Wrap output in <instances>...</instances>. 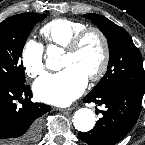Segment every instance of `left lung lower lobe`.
<instances>
[{
  "instance_id": "1",
  "label": "left lung lower lobe",
  "mask_w": 145,
  "mask_h": 145,
  "mask_svg": "<svg viewBox=\"0 0 145 145\" xmlns=\"http://www.w3.org/2000/svg\"><path fill=\"white\" fill-rule=\"evenodd\" d=\"M143 92L131 88H115L99 95L88 94L84 102L104 105L100 118L89 132H79V138L89 145H114L124 138L136 123Z\"/></svg>"
}]
</instances>
